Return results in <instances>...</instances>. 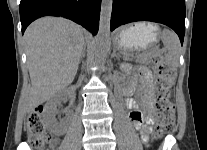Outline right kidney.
I'll return each instance as SVG.
<instances>
[{
    "label": "right kidney",
    "instance_id": "obj_1",
    "mask_svg": "<svg viewBox=\"0 0 207 150\" xmlns=\"http://www.w3.org/2000/svg\"><path fill=\"white\" fill-rule=\"evenodd\" d=\"M67 98V92L62 90L51 97L44 108V116L48 128L54 134H60L62 132L61 124H59L55 118L57 114V106Z\"/></svg>",
    "mask_w": 207,
    "mask_h": 150
}]
</instances>
